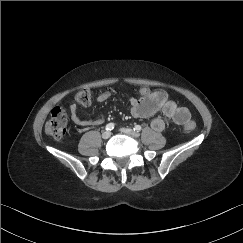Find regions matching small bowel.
Segmentation results:
<instances>
[{"mask_svg":"<svg viewBox=\"0 0 243 243\" xmlns=\"http://www.w3.org/2000/svg\"><path fill=\"white\" fill-rule=\"evenodd\" d=\"M111 96L112 93L106 91L99 94L96 100L99 103H103L109 100ZM129 106L131 114L138 119L148 118L159 111L177 125H183L191 118L190 111L187 107L180 106L176 102L170 100L168 94L162 90L150 91L148 88H142L140 90V98H130ZM70 116L73 123L78 126H98L105 121L103 115L91 121L82 119L78 113L76 104L70 106ZM165 124L163 118L157 117L152 120L151 127L153 130L160 132L165 128Z\"/></svg>","mask_w":243,"mask_h":243,"instance_id":"1","label":"small bowel"}]
</instances>
